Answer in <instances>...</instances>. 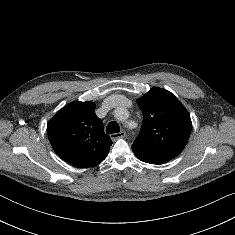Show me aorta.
Returning <instances> with one entry per match:
<instances>
[{"instance_id": "1", "label": "aorta", "mask_w": 235, "mask_h": 235, "mask_svg": "<svg viewBox=\"0 0 235 235\" xmlns=\"http://www.w3.org/2000/svg\"><path fill=\"white\" fill-rule=\"evenodd\" d=\"M126 110L125 109H123V108H120V109H117L116 111H115V117L118 119V120H123L124 119V117H125V115H126Z\"/></svg>"}]
</instances>
